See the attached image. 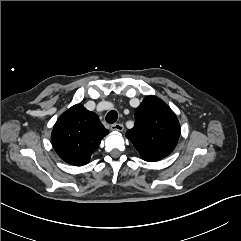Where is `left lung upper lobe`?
<instances>
[{"instance_id": "obj_1", "label": "left lung upper lobe", "mask_w": 241, "mask_h": 241, "mask_svg": "<svg viewBox=\"0 0 241 241\" xmlns=\"http://www.w3.org/2000/svg\"><path fill=\"white\" fill-rule=\"evenodd\" d=\"M135 125L126 137L143 160L154 162L168 156L175 148L180 125L174 112L161 99L146 97L135 112Z\"/></svg>"}]
</instances>
